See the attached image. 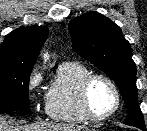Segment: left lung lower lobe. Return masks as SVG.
Segmentation results:
<instances>
[{"label": "left lung lower lobe", "instance_id": "left-lung-lower-lobe-1", "mask_svg": "<svg viewBox=\"0 0 147 131\" xmlns=\"http://www.w3.org/2000/svg\"><path fill=\"white\" fill-rule=\"evenodd\" d=\"M140 129H142L143 131H145L146 129H145V127H141Z\"/></svg>", "mask_w": 147, "mask_h": 131}]
</instances>
